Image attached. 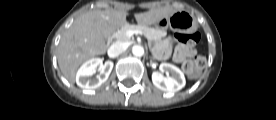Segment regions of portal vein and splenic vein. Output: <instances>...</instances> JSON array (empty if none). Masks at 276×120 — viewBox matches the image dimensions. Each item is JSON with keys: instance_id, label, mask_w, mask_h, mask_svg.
Listing matches in <instances>:
<instances>
[{"instance_id": "1", "label": "portal vein and splenic vein", "mask_w": 276, "mask_h": 120, "mask_svg": "<svg viewBox=\"0 0 276 120\" xmlns=\"http://www.w3.org/2000/svg\"><path fill=\"white\" fill-rule=\"evenodd\" d=\"M134 34L143 35L142 31H140V30H128V31L126 32V36H127L128 38L132 37Z\"/></svg>"}]
</instances>
